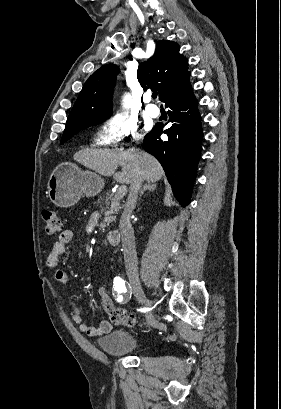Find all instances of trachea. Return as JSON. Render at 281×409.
Listing matches in <instances>:
<instances>
[{"instance_id":"trachea-1","label":"trachea","mask_w":281,"mask_h":409,"mask_svg":"<svg viewBox=\"0 0 281 409\" xmlns=\"http://www.w3.org/2000/svg\"><path fill=\"white\" fill-rule=\"evenodd\" d=\"M152 98H157V92H153Z\"/></svg>"}]
</instances>
